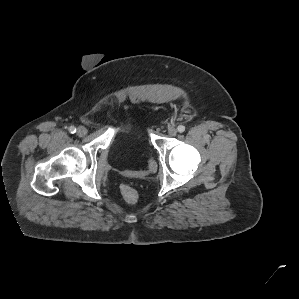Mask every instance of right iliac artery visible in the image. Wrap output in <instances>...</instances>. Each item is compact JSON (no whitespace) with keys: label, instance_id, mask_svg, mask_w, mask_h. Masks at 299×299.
<instances>
[{"label":"right iliac artery","instance_id":"82829eb1","mask_svg":"<svg viewBox=\"0 0 299 299\" xmlns=\"http://www.w3.org/2000/svg\"><path fill=\"white\" fill-rule=\"evenodd\" d=\"M69 132L72 133V134L75 133L76 132V128L74 126H70L69 127Z\"/></svg>","mask_w":299,"mask_h":299}]
</instances>
